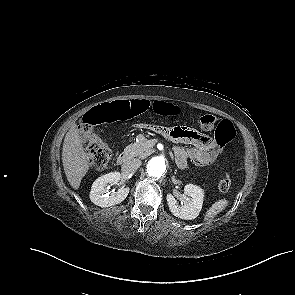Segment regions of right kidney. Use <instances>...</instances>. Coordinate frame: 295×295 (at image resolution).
<instances>
[{"instance_id":"ca27d5eb","label":"right kidney","mask_w":295,"mask_h":295,"mask_svg":"<svg viewBox=\"0 0 295 295\" xmlns=\"http://www.w3.org/2000/svg\"><path fill=\"white\" fill-rule=\"evenodd\" d=\"M120 178V172H111L96 179L90 191L91 202L100 207H110L124 201L129 194V187L118 189L112 193L106 189L107 184H118Z\"/></svg>"}]
</instances>
